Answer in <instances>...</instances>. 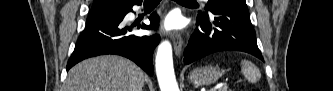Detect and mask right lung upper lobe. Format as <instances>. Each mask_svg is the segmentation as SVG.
I'll use <instances>...</instances> for the list:
<instances>
[{
	"instance_id": "right-lung-upper-lobe-1",
	"label": "right lung upper lobe",
	"mask_w": 333,
	"mask_h": 91,
	"mask_svg": "<svg viewBox=\"0 0 333 91\" xmlns=\"http://www.w3.org/2000/svg\"><path fill=\"white\" fill-rule=\"evenodd\" d=\"M142 0H94L90 15L121 13Z\"/></svg>"
}]
</instances>
